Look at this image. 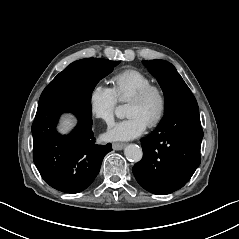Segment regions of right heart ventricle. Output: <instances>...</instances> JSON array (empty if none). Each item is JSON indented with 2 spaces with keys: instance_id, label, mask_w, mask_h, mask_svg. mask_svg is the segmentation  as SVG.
<instances>
[{
  "instance_id": "1",
  "label": "right heart ventricle",
  "mask_w": 239,
  "mask_h": 239,
  "mask_svg": "<svg viewBox=\"0 0 239 239\" xmlns=\"http://www.w3.org/2000/svg\"><path fill=\"white\" fill-rule=\"evenodd\" d=\"M151 82L146 73L134 68L119 71L111 77L113 89L120 101H128L135 92Z\"/></svg>"
}]
</instances>
